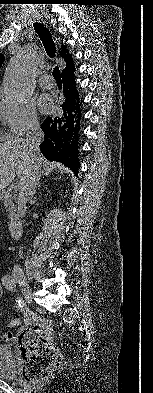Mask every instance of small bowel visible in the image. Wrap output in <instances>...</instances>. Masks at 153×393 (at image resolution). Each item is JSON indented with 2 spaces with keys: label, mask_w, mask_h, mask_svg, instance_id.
<instances>
[{
  "label": "small bowel",
  "mask_w": 153,
  "mask_h": 393,
  "mask_svg": "<svg viewBox=\"0 0 153 393\" xmlns=\"http://www.w3.org/2000/svg\"><path fill=\"white\" fill-rule=\"evenodd\" d=\"M2 294H3V289H2V287L0 286V297L2 296ZM15 303H16V308L19 310L20 307L18 306V305H19L18 300H17ZM11 338H12V333H11L10 331H6V332H4V333L1 335V339H2L3 341H9Z\"/></svg>",
  "instance_id": "1"
}]
</instances>
